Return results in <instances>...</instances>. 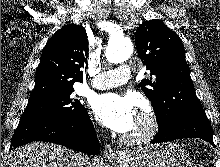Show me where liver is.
<instances>
[{"mask_svg":"<svg viewBox=\"0 0 220 167\" xmlns=\"http://www.w3.org/2000/svg\"><path fill=\"white\" fill-rule=\"evenodd\" d=\"M79 154L57 144L32 142L13 150L6 167H77ZM94 167H103L93 160Z\"/></svg>","mask_w":220,"mask_h":167,"instance_id":"1","label":"liver"}]
</instances>
